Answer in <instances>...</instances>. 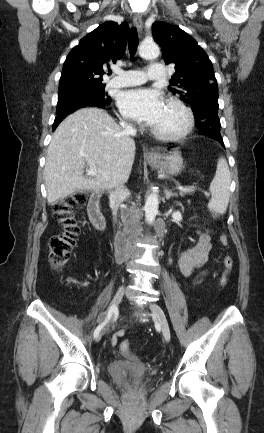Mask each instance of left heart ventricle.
<instances>
[{"instance_id":"obj_1","label":"left heart ventricle","mask_w":264,"mask_h":433,"mask_svg":"<svg viewBox=\"0 0 264 433\" xmlns=\"http://www.w3.org/2000/svg\"><path fill=\"white\" fill-rule=\"evenodd\" d=\"M184 122L183 113L179 109L166 104L161 118L152 127L163 132H175L184 125Z\"/></svg>"}]
</instances>
